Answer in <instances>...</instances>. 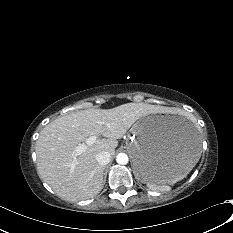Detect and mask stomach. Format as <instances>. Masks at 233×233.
I'll return each mask as SVG.
<instances>
[{"instance_id": "stomach-1", "label": "stomach", "mask_w": 233, "mask_h": 233, "mask_svg": "<svg viewBox=\"0 0 233 233\" xmlns=\"http://www.w3.org/2000/svg\"><path fill=\"white\" fill-rule=\"evenodd\" d=\"M136 177L167 183L184 177L200 157L193 125L182 116H145L130 130L127 141Z\"/></svg>"}]
</instances>
